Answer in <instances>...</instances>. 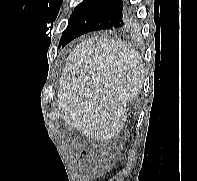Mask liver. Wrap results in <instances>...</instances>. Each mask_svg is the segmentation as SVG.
<instances>
[{"label":"liver","mask_w":197,"mask_h":181,"mask_svg":"<svg viewBox=\"0 0 197 181\" xmlns=\"http://www.w3.org/2000/svg\"><path fill=\"white\" fill-rule=\"evenodd\" d=\"M141 56L127 43L89 38L69 54L59 80L58 108L70 127L106 141L126 122V104L144 83Z\"/></svg>","instance_id":"obj_1"}]
</instances>
